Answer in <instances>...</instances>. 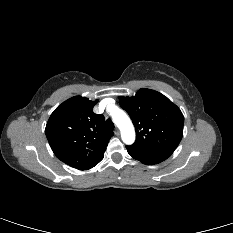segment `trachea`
<instances>
[{"label": "trachea", "instance_id": "3493384b", "mask_svg": "<svg viewBox=\"0 0 233 233\" xmlns=\"http://www.w3.org/2000/svg\"><path fill=\"white\" fill-rule=\"evenodd\" d=\"M105 125H106V127H107L109 130H113V129H114V123H113L110 119H107V120H106Z\"/></svg>", "mask_w": 233, "mask_h": 233}]
</instances>
